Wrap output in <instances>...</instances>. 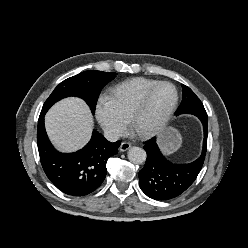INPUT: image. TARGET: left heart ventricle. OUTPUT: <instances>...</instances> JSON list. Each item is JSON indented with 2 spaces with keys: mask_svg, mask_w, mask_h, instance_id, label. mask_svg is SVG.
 <instances>
[{
  "mask_svg": "<svg viewBox=\"0 0 248 248\" xmlns=\"http://www.w3.org/2000/svg\"><path fill=\"white\" fill-rule=\"evenodd\" d=\"M173 99L174 91L171 87L166 85L158 87L138 119V128L146 129L156 124L166 114Z\"/></svg>",
  "mask_w": 248,
  "mask_h": 248,
  "instance_id": "left-heart-ventricle-1",
  "label": "left heart ventricle"
}]
</instances>
